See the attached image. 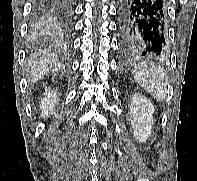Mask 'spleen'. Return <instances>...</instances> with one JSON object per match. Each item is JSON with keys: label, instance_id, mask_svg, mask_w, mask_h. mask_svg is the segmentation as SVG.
I'll list each match as a JSON object with an SVG mask.
<instances>
[{"label": "spleen", "instance_id": "spleen-1", "mask_svg": "<svg viewBox=\"0 0 197 181\" xmlns=\"http://www.w3.org/2000/svg\"><path fill=\"white\" fill-rule=\"evenodd\" d=\"M133 75L135 81L156 100L165 99L167 78L162 67L142 62L134 67Z\"/></svg>", "mask_w": 197, "mask_h": 181}]
</instances>
